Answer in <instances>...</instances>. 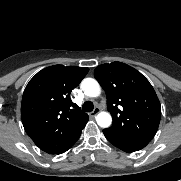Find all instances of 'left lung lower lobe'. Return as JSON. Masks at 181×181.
I'll use <instances>...</instances> for the list:
<instances>
[{
    "instance_id": "0a47b994",
    "label": "left lung lower lobe",
    "mask_w": 181,
    "mask_h": 181,
    "mask_svg": "<svg viewBox=\"0 0 181 181\" xmlns=\"http://www.w3.org/2000/svg\"><path fill=\"white\" fill-rule=\"evenodd\" d=\"M107 140L114 145L115 147L125 151V152H134L141 150L144 148L148 143L138 140H130V139H120L114 136L105 134Z\"/></svg>"
}]
</instances>
